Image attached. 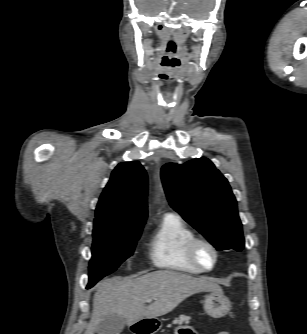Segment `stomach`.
<instances>
[{"label": "stomach", "mask_w": 307, "mask_h": 334, "mask_svg": "<svg viewBox=\"0 0 307 334\" xmlns=\"http://www.w3.org/2000/svg\"><path fill=\"white\" fill-rule=\"evenodd\" d=\"M231 309V303L229 299L223 294L222 291H211L204 301V310L207 315L213 318H221L227 315ZM145 328H148L151 332H155L160 328L159 321L144 320L142 322ZM153 334V333H152Z\"/></svg>", "instance_id": "stomach-1"}]
</instances>
